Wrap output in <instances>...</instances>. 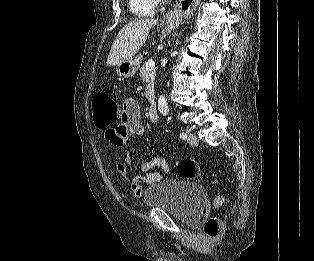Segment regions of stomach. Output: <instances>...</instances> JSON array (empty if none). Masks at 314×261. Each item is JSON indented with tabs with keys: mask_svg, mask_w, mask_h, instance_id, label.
I'll list each match as a JSON object with an SVG mask.
<instances>
[{
	"mask_svg": "<svg viewBox=\"0 0 314 261\" xmlns=\"http://www.w3.org/2000/svg\"><path fill=\"white\" fill-rule=\"evenodd\" d=\"M141 58L142 56L138 55L136 57H131L130 59H127L126 61L118 64L116 68L117 75L123 79L130 78L133 75H135L139 67Z\"/></svg>",
	"mask_w": 314,
	"mask_h": 261,
	"instance_id": "stomach-1",
	"label": "stomach"
}]
</instances>
